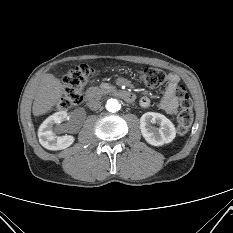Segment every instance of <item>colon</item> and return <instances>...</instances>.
I'll list each match as a JSON object with an SVG mask.
<instances>
[{
	"label": "colon",
	"mask_w": 233,
	"mask_h": 233,
	"mask_svg": "<svg viewBox=\"0 0 233 233\" xmlns=\"http://www.w3.org/2000/svg\"><path fill=\"white\" fill-rule=\"evenodd\" d=\"M92 69L86 64H81L70 69L64 77V92L58 103L61 110H67L83 99V89L91 76ZM142 82L149 88L160 86L166 81L164 71L157 68H145L140 72ZM175 96L180 105V111L177 116L178 133L184 135L188 132L192 120V101L183 86H177Z\"/></svg>",
	"instance_id": "colon-1"
}]
</instances>
